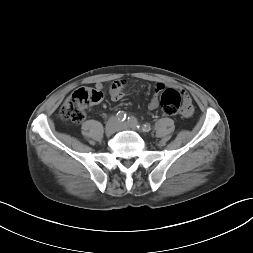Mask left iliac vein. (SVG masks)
<instances>
[{"mask_svg": "<svg viewBox=\"0 0 253 253\" xmlns=\"http://www.w3.org/2000/svg\"><path fill=\"white\" fill-rule=\"evenodd\" d=\"M131 128L133 130H136L137 127H131ZM128 129H130V126L126 122L119 124V130H128Z\"/></svg>", "mask_w": 253, "mask_h": 253, "instance_id": "obj_1", "label": "left iliac vein"}]
</instances>
